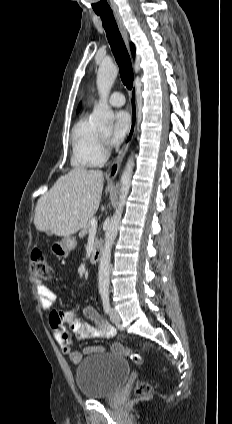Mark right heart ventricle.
Segmentation results:
<instances>
[{"label": "right heart ventricle", "mask_w": 232, "mask_h": 424, "mask_svg": "<svg viewBox=\"0 0 232 424\" xmlns=\"http://www.w3.org/2000/svg\"><path fill=\"white\" fill-rule=\"evenodd\" d=\"M105 161L100 132L84 114L72 130L71 164L76 169H86L102 166Z\"/></svg>", "instance_id": "right-heart-ventricle-1"}]
</instances>
